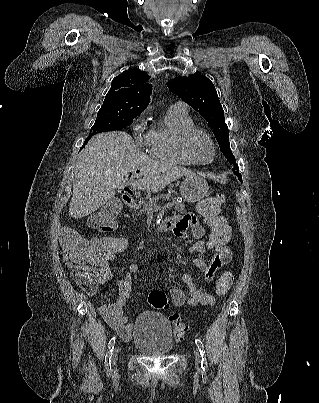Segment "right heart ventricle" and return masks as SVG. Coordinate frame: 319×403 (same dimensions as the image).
<instances>
[{
  "label": "right heart ventricle",
  "mask_w": 319,
  "mask_h": 403,
  "mask_svg": "<svg viewBox=\"0 0 319 403\" xmlns=\"http://www.w3.org/2000/svg\"><path fill=\"white\" fill-rule=\"evenodd\" d=\"M194 127L196 124L186 106L180 103L170 106L163 119L151 130L152 140L149 147L151 155L175 164H195L181 148V135Z\"/></svg>",
  "instance_id": "obj_1"
}]
</instances>
